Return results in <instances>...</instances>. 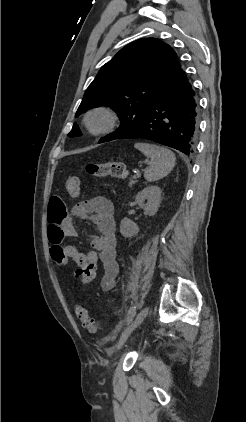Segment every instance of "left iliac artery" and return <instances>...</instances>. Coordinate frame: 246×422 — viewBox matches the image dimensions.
Listing matches in <instances>:
<instances>
[{"instance_id": "left-iliac-artery-1", "label": "left iliac artery", "mask_w": 246, "mask_h": 422, "mask_svg": "<svg viewBox=\"0 0 246 422\" xmlns=\"http://www.w3.org/2000/svg\"><path fill=\"white\" fill-rule=\"evenodd\" d=\"M135 314H136V307L133 306L128 311V314H127V323H130L133 320Z\"/></svg>"}]
</instances>
